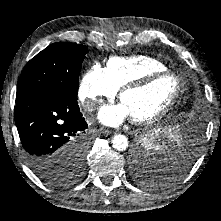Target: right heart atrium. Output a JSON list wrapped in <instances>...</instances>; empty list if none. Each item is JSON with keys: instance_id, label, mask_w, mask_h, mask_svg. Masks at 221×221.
Instances as JSON below:
<instances>
[{"instance_id": "right-heart-atrium-1", "label": "right heart atrium", "mask_w": 221, "mask_h": 221, "mask_svg": "<svg viewBox=\"0 0 221 221\" xmlns=\"http://www.w3.org/2000/svg\"><path fill=\"white\" fill-rule=\"evenodd\" d=\"M117 88L99 64L91 66L83 75L79 86V100L87 111L95 110L103 99H112Z\"/></svg>"}]
</instances>
